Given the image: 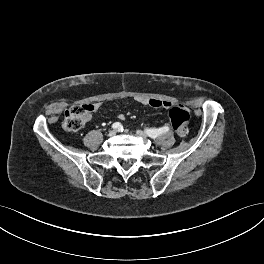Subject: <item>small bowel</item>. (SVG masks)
<instances>
[{"label":"small bowel","mask_w":264,"mask_h":264,"mask_svg":"<svg viewBox=\"0 0 264 264\" xmlns=\"http://www.w3.org/2000/svg\"><path fill=\"white\" fill-rule=\"evenodd\" d=\"M136 101L142 105H149L155 108H165V109H169L170 107H172L173 103L170 101H164V100H158V99H151V98H144V97H139L136 99ZM93 108V111L97 110L100 106L99 103H94V104H90ZM119 119L123 120L124 119V115L120 114Z\"/></svg>","instance_id":"1"}]
</instances>
